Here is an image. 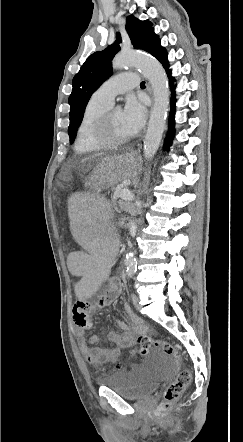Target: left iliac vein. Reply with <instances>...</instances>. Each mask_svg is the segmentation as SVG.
Returning <instances> with one entry per match:
<instances>
[{
  "label": "left iliac vein",
  "mask_w": 243,
  "mask_h": 442,
  "mask_svg": "<svg viewBox=\"0 0 243 442\" xmlns=\"http://www.w3.org/2000/svg\"><path fill=\"white\" fill-rule=\"evenodd\" d=\"M132 303H133V305H134V307L135 308H138V297H137V295L136 294H132Z\"/></svg>",
  "instance_id": "obj_1"
}]
</instances>
